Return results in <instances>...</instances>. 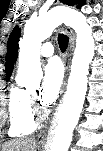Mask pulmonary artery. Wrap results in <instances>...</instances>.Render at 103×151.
Masks as SVG:
<instances>
[{"mask_svg": "<svg viewBox=\"0 0 103 151\" xmlns=\"http://www.w3.org/2000/svg\"><path fill=\"white\" fill-rule=\"evenodd\" d=\"M40 53L43 57H50L54 53V47L50 42H46L42 45Z\"/></svg>", "mask_w": 103, "mask_h": 151, "instance_id": "1", "label": "pulmonary artery"}]
</instances>
